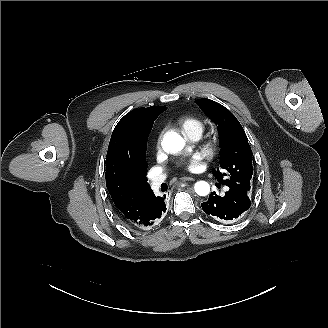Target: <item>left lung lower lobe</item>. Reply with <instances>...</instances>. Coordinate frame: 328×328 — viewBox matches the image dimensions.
I'll use <instances>...</instances> for the list:
<instances>
[{
    "instance_id": "0a47b994",
    "label": "left lung lower lobe",
    "mask_w": 328,
    "mask_h": 328,
    "mask_svg": "<svg viewBox=\"0 0 328 328\" xmlns=\"http://www.w3.org/2000/svg\"><path fill=\"white\" fill-rule=\"evenodd\" d=\"M250 205L251 202L247 195L232 188H229L223 197L218 196L215 192L211 193L208 201L201 204L206 214L222 222L237 219L249 209Z\"/></svg>"
}]
</instances>
